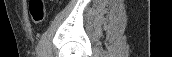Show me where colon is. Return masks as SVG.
<instances>
[{
    "instance_id": "obj_1",
    "label": "colon",
    "mask_w": 172,
    "mask_h": 57,
    "mask_svg": "<svg viewBox=\"0 0 172 57\" xmlns=\"http://www.w3.org/2000/svg\"><path fill=\"white\" fill-rule=\"evenodd\" d=\"M29 10L34 23L40 24L44 21L46 10L42 0H30Z\"/></svg>"
}]
</instances>
